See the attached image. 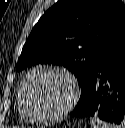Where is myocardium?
Here are the masks:
<instances>
[{"instance_id":"obj_1","label":"myocardium","mask_w":125,"mask_h":128,"mask_svg":"<svg viewBox=\"0 0 125 128\" xmlns=\"http://www.w3.org/2000/svg\"><path fill=\"white\" fill-rule=\"evenodd\" d=\"M38 72H53V73L59 74L68 81L71 87V95H70L68 102L61 109H59L58 111L54 113L34 114L27 107L26 100H25V88L29 80L31 79V77ZM79 94H80V90H79V85L77 83V80L68 70L62 67L53 66V65L37 66L28 72V74L25 76V78L20 84V87H19L20 109L23 115L31 121H35L39 123L54 122L64 117L74 108V106L76 105L78 101Z\"/></svg>"}]
</instances>
